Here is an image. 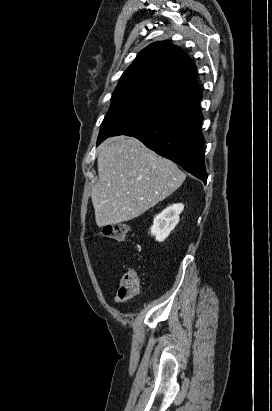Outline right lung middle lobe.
I'll list each match as a JSON object with an SVG mask.
<instances>
[{"instance_id":"right-lung-middle-lobe-1","label":"right lung middle lobe","mask_w":272,"mask_h":411,"mask_svg":"<svg viewBox=\"0 0 272 411\" xmlns=\"http://www.w3.org/2000/svg\"><path fill=\"white\" fill-rule=\"evenodd\" d=\"M179 108L177 103L165 102L148 92H114L99 137L127 134Z\"/></svg>"}]
</instances>
